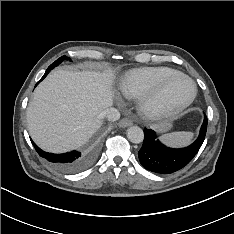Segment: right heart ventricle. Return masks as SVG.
<instances>
[{
  "instance_id": "1",
  "label": "right heart ventricle",
  "mask_w": 234,
  "mask_h": 234,
  "mask_svg": "<svg viewBox=\"0 0 234 234\" xmlns=\"http://www.w3.org/2000/svg\"><path fill=\"white\" fill-rule=\"evenodd\" d=\"M179 73L168 67H144L128 71L120 84L126 98H140L166 78Z\"/></svg>"
}]
</instances>
